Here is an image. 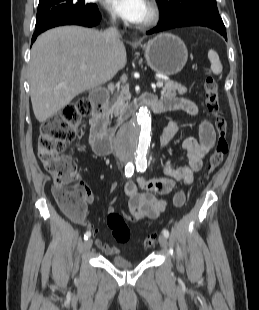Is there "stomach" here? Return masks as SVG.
Wrapping results in <instances>:
<instances>
[{
	"label": "stomach",
	"mask_w": 259,
	"mask_h": 310,
	"mask_svg": "<svg viewBox=\"0 0 259 310\" xmlns=\"http://www.w3.org/2000/svg\"><path fill=\"white\" fill-rule=\"evenodd\" d=\"M143 49L151 69L167 76L178 74L184 68L188 58L184 42L170 33L157 35L148 41Z\"/></svg>",
	"instance_id": "0dacf381"
}]
</instances>
